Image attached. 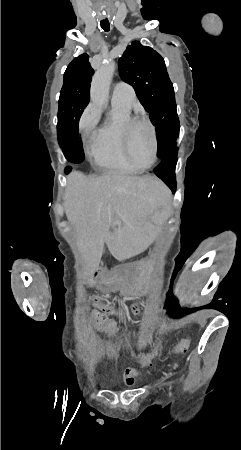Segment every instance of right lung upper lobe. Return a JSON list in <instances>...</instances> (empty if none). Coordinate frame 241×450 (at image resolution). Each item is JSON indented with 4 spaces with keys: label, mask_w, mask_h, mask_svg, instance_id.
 Instances as JSON below:
<instances>
[{
    "label": "right lung upper lobe",
    "mask_w": 241,
    "mask_h": 450,
    "mask_svg": "<svg viewBox=\"0 0 241 450\" xmlns=\"http://www.w3.org/2000/svg\"><path fill=\"white\" fill-rule=\"evenodd\" d=\"M88 58L89 56L87 54L76 57L68 65L64 73V82L83 76H92L94 71L90 66Z\"/></svg>",
    "instance_id": "1"
}]
</instances>
